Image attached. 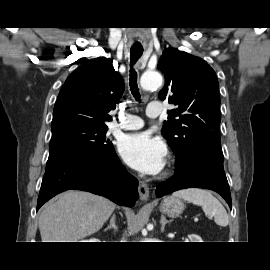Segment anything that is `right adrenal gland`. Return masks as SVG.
<instances>
[{"mask_svg":"<svg viewBox=\"0 0 270 270\" xmlns=\"http://www.w3.org/2000/svg\"><path fill=\"white\" fill-rule=\"evenodd\" d=\"M109 229H114V232H116L118 230V227L116 226V215L113 214L111 219H110V223L107 226V228L105 229V231L109 230Z\"/></svg>","mask_w":270,"mask_h":270,"instance_id":"obj_1","label":"right adrenal gland"}]
</instances>
